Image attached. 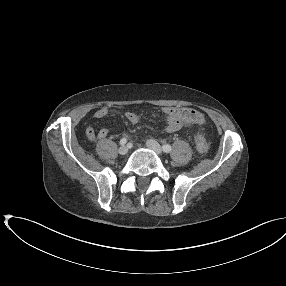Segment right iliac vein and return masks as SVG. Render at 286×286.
I'll use <instances>...</instances> for the list:
<instances>
[{
    "instance_id": "1",
    "label": "right iliac vein",
    "mask_w": 286,
    "mask_h": 286,
    "mask_svg": "<svg viewBox=\"0 0 286 286\" xmlns=\"http://www.w3.org/2000/svg\"><path fill=\"white\" fill-rule=\"evenodd\" d=\"M120 155H126L128 153V147L127 146H121L118 150Z\"/></svg>"
}]
</instances>
